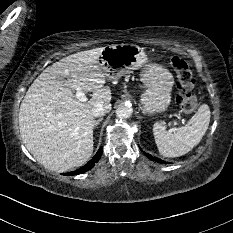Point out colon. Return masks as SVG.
Instances as JSON below:
<instances>
[{"instance_id": "colon-1", "label": "colon", "mask_w": 233, "mask_h": 233, "mask_svg": "<svg viewBox=\"0 0 233 233\" xmlns=\"http://www.w3.org/2000/svg\"><path fill=\"white\" fill-rule=\"evenodd\" d=\"M170 64L176 73L179 82L177 102L186 113H192L198 106L197 98L192 94L194 78L187 62L178 56L170 59Z\"/></svg>"}]
</instances>
